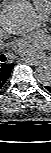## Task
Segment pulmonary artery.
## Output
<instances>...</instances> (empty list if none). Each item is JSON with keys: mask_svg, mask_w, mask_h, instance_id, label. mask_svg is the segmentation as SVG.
I'll use <instances>...</instances> for the list:
<instances>
[{"mask_svg": "<svg viewBox=\"0 0 51 153\" xmlns=\"http://www.w3.org/2000/svg\"><path fill=\"white\" fill-rule=\"evenodd\" d=\"M43 19H47L48 18V16H44V17H42Z\"/></svg>", "mask_w": 51, "mask_h": 153, "instance_id": "1", "label": "pulmonary artery"}]
</instances>
